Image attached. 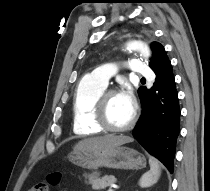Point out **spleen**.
Here are the masks:
<instances>
[{"mask_svg":"<svg viewBox=\"0 0 210 191\" xmlns=\"http://www.w3.org/2000/svg\"><path fill=\"white\" fill-rule=\"evenodd\" d=\"M149 164L150 170L143 174L139 180V186L142 188L150 187L155 184L161 175V167L155 158L150 157Z\"/></svg>","mask_w":210,"mask_h":191,"instance_id":"spleen-1","label":"spleen"}]
</instances>
